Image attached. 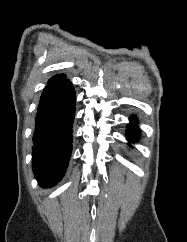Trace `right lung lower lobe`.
Instances as JSON below:
<instances>
[{"label":"right lung lower lobe","mask_w":187,"mask_h":242,"mask_svg":"<svg viewBox=\"0 0 187 242\" xmlns=\"http://www.w3.org/2000/svg\"><path fill=\"white\" fill-rule=\"evenodd\" d=\"M75 91L62 77L48 82L41 95L33 136L32 167L40 186H54L63 177L72 151Z\"/></svg>","instance_id":"obj_1"}]
</instances>
